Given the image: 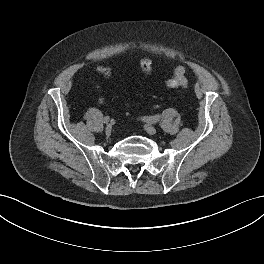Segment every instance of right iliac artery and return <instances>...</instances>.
Instances as JSON below:
<instances>
[{"mask_svg": "<svg viewBox=\"0 0 264 264\" xmlns=\"http://www.w3.org/2000/svg\"><path fill=\"white\" fill-rule=\"evenodd\" d=\"M109 120H110V117H109V116H105V117H104V122H105V123H108Z\"/></svg>", "mask_w": 264, "mask_h": 264, "instance_id": "82829eb1", "label": "right iliac artery"}]
</instances>
